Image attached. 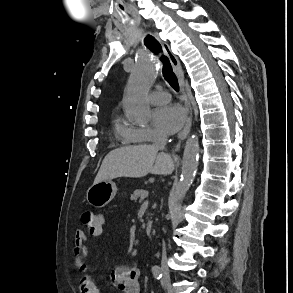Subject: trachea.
I'll return each instance as SVG.
<instances>
[{
    "label": "trachea",
    "instance_id": "trachea-1",
    "mask_svg": "<svg viewBox=\"0 0 293 293\" xmlns=\"http://www.w3.org/2000/svg\"><path fill=\"white\" fill-rule=\"evenodd\" d=\"M144 44L153 53L155 54L162 53L161 45L155 37L151 35L146 36L144 39ZM160 59L163 63L162 73L165 80L170 84L172 88H174L175 90H178L179 88L178 79L175 73L173 72V69L168 57L162 54Z\"/></svg>",
    "mask_w": 293,
    "mask_h": 293
}]
</instances>
